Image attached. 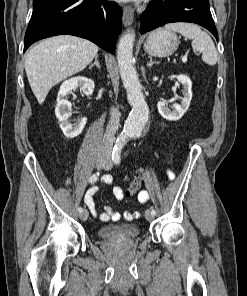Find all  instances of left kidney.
<instances>
[{
  "label": "left kidney",
  "instance_id": "obj_1",
  "mask_svg": "<svg viewBox=\"0 0 247 296\" xmlns=\"http://www.w3.org/2000/svg\"><path fill=\"white\" fill-rule=\"evenodd\" d=\"M171 78H177V80L183 85V98L181 104H176L173 106L171 111L162 101H159L157 104L158 111L160 115L169 121L179 120L184 113L188 110L191 99H192V82L189 77L185 75L171 76Z\"/></svg>",
  "mask_w": 247,
  "mask_h": 296
}]
</instances>
